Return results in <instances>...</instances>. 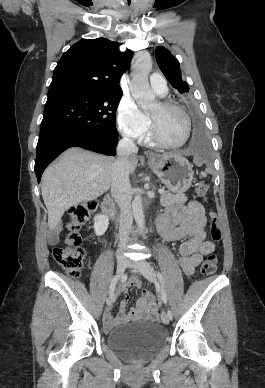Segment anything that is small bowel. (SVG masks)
<instances>
[{
	"label": "small bowel",
	"mask_w": 265,
	"mask_h": 388,
	"mask_svg": "<svg viewBox=\"0 0 265 388\" xmlns=\"http://www.w3.org/2000/svg\"><path fill=\"white\" fill-rule=\"evenodd\" d=\"M159 219L163 223L160 229L163 239L168 242H182L178 248L179 264L183 273L191 276L203 257L215 250V244L207 240V219L203 205L198 201H190L185 205L173 206L168 208ZM60 231L59 224L52 227L49 234L51 242L54 243L57 240ZM141 285L138 278H132L117 289V293L123 294L124 297L120 303V311L115 317L112 315L111 307L105 310L103 321L106 330L127 321L154 320L157 317V306L147 303L144 299L139 300L137 310L126 314L128 290L132 287L139 288Z\"/></svg>",
	"instance_id": "1"
}]
</instances>
